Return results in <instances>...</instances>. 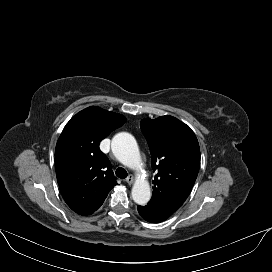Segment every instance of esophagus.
I'll return each mask as SVG.
<instances>
[{"label":"esophagus","mask_w":272,"mask_h":272,"mask_svg":"<svg viewBox=\"0 0 272 272\" xmlns=\"http://www.w3.org/2000/svg\"><path fill=\"white\" fill-rule=\"evenodd\" d=\"M133 181H134V176L130 174V175L126 178V182H127L128 184H132Z\"/></svg>","instance_id":"34e87169"}]
</instances>
